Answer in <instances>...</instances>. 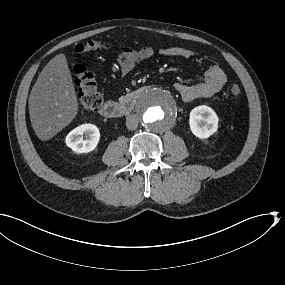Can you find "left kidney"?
Masks as SVG:
<instances>
[{"mask_svg":"<svg viewBox=\"0 0 285 285\" xmlns=\"http://www.w3.org/2000/svg\"><path fill=\"white\" fill-rule=\"evenodd\" d=\"M189 124L196 137L205 139L217 131L218 117L212 108L201 105L191 111Z\"/></svg>","mask_w":285,"mask_h":285,"instance_id":"5707ae66","label":"left kidney"}]
</instances>
